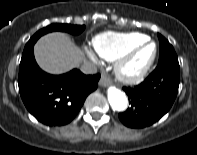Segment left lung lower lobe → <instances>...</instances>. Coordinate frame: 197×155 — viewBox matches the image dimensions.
I'll use <instances>...</instances> for the list:
<instances>
[{
  "mask_svg": "<svg viewBox=\"0 0 197 155\" xmlns=\"http://www.w3.org/2000/svg\"><path fill=\"white\" fill-rule=\"evenodd\" d=\"M179 82V64L163 63L139 85L124 87L131 107L119 114L121 122L127 127L143 128L158 121L170 110Z\"/></svg>",
  "mask_w": 197,
  "mask_h": 155,
  "instance_id": "obj_1",
  "label": "left lung lower lobe"
}]
</instances>
